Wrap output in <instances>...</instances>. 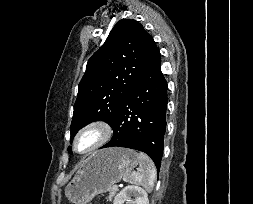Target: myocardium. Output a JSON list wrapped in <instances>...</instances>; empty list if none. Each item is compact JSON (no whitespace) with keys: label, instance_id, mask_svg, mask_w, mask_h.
Returning <instances> with one entry per match:
<instances>
[{"label":"myocardium","instance_id":"1","mask_svg":"<svg viewBox=\"0 0 253 204\" xmlns=\"http://www.w3.org/2000/svg\"><path fill=\"white\" fill-rule=\"evenodd\" d=\"M89 131H96L98 133V138L86 150L79 151L77 148L78 140L82 135H84L85 133H87ZM112 135H113V129L108 122L101 120V119L93 120V121H90V122L86 123L85 125H83L76 132V134L73 138L72 148H73L74 152L77 153L78 155L86 156V155H89V154L93 153L94 151L98 150L99 148L103 147L104 145H106L110 141V139L112 138Z\"/></svg>","mask_w":253,"mask_h":204}]
</instances>
